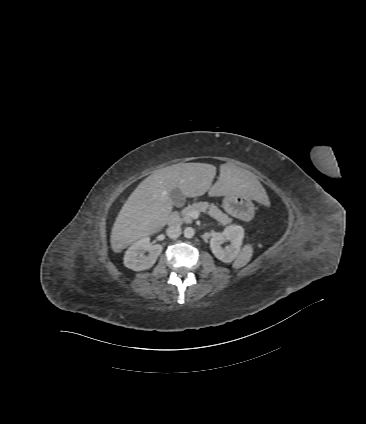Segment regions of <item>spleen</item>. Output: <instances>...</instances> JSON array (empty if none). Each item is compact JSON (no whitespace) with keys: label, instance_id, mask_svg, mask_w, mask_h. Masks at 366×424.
Listing matches in <instances>:
<instances>
[{"label":"spleen","instance_id":"1","mask_svg":"<svg viewBox=\"0 0 366 424\" xmlns=\"http://www.w3.org/2000/svg\"><path fill=\"white\" fill-rule=\"evenodd\" d=\"M253 254V248L251 244L245 245L241 252L236 257L233 267L238 269L245 266L251 259Z\"/></svg>","mask_w":366,"mask_h":424}]
</instances>
